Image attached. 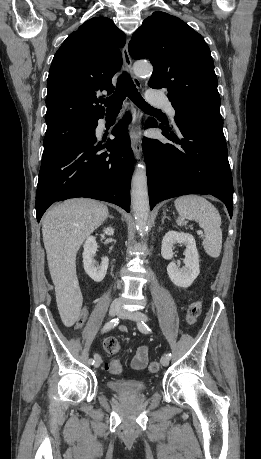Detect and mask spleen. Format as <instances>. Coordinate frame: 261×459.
<instances>
[{"instance_id":"3e777b00","label":"spleen","mask_w":261,"mask_h":459,"mask_svg":"<svg viewBox=\"0 0 261 459\" xmlns=\"http://www.w3.org/2000/svg\"><path fill=\"white\" fill-rule=\"evenodd\" d=\"M174 204L179 214L177 225L183 226L186 220L198 222L205 233V252L212 258H218L222 248V230L221 216L215 206L199 195L180 196Z\"/></svg>"}]
</instances>
